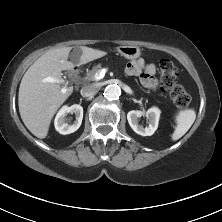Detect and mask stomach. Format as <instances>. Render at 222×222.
<instances>
[{
    "mask_svg": "<svg viewBox=\"0 0 222 222\" xmlns=\"http://www.w3.org/2000/svg\"><path fill=\"white\" fill-rule=\"evenodd\" d=\"M118 52L129 60H134L141 55L140 48L134 45L120 46Z\"/></svg>",
    "mask_w": 222,
    "mask_h": 222,
    "instance_id": "1",
    "label": "stomach"
}]
</instances>
